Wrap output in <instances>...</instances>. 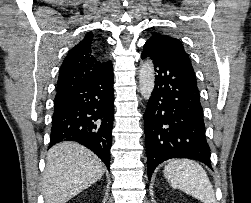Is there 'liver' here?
Returning a JSON list of instances; mask_svg holds the SVG:
<instances>
[{
  "label": "liver",
  "instance_id": "liver-1",
  "mask_svg": "<svg viewBox=\"0 0 251 203\" xmlns=\"http://www.w3.org/2000/svg\"><path fill=\"white\" fill-rule=\"evenodd\" d=\"M46 160L42 188L45 203H66L100 180L105 171L93 152L74 142L56 144Z\"/></svg>",
  "mask_w": 251,
  "mask_h": 203
}]
</instances>
